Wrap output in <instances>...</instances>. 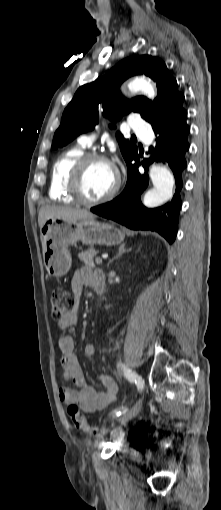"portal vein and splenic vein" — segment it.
<instances>
[{
	"mask_svg": "<svg viewBox=\"0 0 221 510\" xmlns=\"http://www.w3.org/2000/svg\"><path fill=\"white\" fill-rule=\"evenodd\" d=\"M95 262H96L97 264H102V258L97 257V258L95 259Z\"/></svg>",
	"mask_w": 221,
	"mask_h": 510,
	"instance_id": "18ae733b",
	"label": "portal vein and splenic vein"
}]
</instances>
